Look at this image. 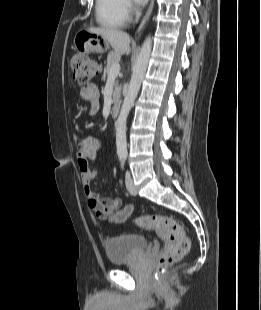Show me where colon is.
Returning a JSON list of instances; mask_svg holds the SVG:
<instances>
[{
  "instance_id": "1",
  "label": "colon",
  "mask_w": 261,
  "mask_h": 310,
  "mask_svg": "<svg viewBox=\"0 0 261 310\" xmlns=\"http://www.w3.org/2000/svg\"><path fill=\"white\" fill-rule=\"evenodd\" d=\"M73 80L78 85H85L98 73V64L86 54H74L70 60ZM136 224L145 229L156 231L165 242L164 248L158 256L159 267L168 266L180 260L189 250L190 242L183 226L174 218L155 214L140 216Z\"/></svg>"
}]
</instances>
